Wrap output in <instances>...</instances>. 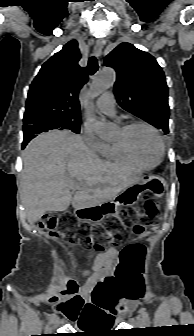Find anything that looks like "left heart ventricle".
Listing matches in <instances>:
<instances>
[{
	"mask_svg": "<svg viewBox=\"0 0 194 336\" xmlns=\"http://www.w3.org/2000/svg\"><path fill=\"white\" fill-rule=\"evenodd\" d=\"M120 131L118 140L121 138ZM130 144L137 156L145 163L153 164L160 157V147L156 136L145 127H135L129 133Z\"/></svg>",
	"mask_w": 194,
	"mask_h": 336,
	"instance_id": "obj_1",
	"label": "left heart ventricle"
}]
</instances>
